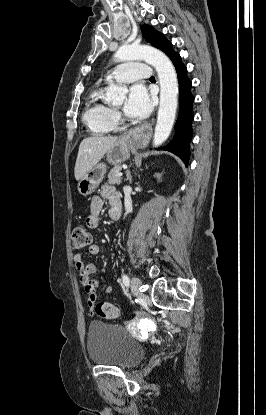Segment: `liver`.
<instances>
[{
    "instance_id": "liver-1",
    "label": "liver",
    "mask_w": 266,
    "mask_h": 415,
    "mask_svg": "<svg viewBox=\"0 0 266 415\" xmlns=\"http://www.w3.org/2000/svg\"><path fill=\"white\" fill-rule=\"evenodd\" d=\"M118 140L113 136H92L82 140L74 168L75 179L79 181L103 158L107 150Z\"/></svg>"
}]
</instances>
